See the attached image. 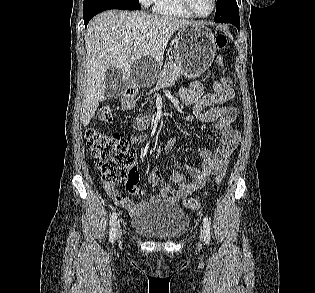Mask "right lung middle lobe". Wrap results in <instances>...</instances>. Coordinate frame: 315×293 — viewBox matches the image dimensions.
<instances>
[{
  "label": "right lung middle lobe",
  "instance_id": "right-lung-middle-lobe-1",
  "mask_svg": "<svg viewBox=\"0 0 315 293\" xmlns=\"http://www.w3.org/2000/svg\"><path fill=\"white\" fill-rule=\"evenodd\" d=\"M129 3L139 4V0H123Z\"/></svg>",
  "mask_w": 315,
  "mask_h": 293
}]
</instances>
